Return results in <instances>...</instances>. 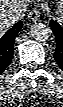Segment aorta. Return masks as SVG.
<instances>
[{
    "label": "aorta",
    "mask_w": 63,
    "mask_h": 107,
    "mask_svg": "<svg viewBox=\"0 0 63 107\" xmlns=\"http://www.w3.org/2000/svg\"><path fill=\"white\" fill-rule=\"evenodd\" d=\"M30 35L34 40L44 42L50 37L51 30L46 24L35 23L31 26Z\"/></svg>",
    "instance_id": "aorta-1"
}]
</instances>
